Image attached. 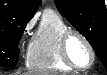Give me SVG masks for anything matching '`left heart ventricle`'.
I'll return each mask as SVG.
<instances>
[{"instance_id": "left-heart-ventricle-1", "label": "left heart ventricle", "mask_w": 107, "mask_h": 75, "mask_svg": "<svg viewBox=\"0 0 107 75\" xmlns=\"http://www.w3.org/2000/svg\"><path fill=\"white\" fill-rule=\"evenodd\" d=\"M68 51L71 59L79 66H86L91 61V54L88 47L77 36L70 38Z\"/></svg>"}]
</instances>
